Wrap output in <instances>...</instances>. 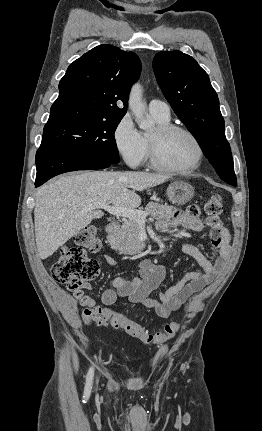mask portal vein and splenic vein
I'll use <instances>...</instances> for the list:
<instances>
[{"label": "portal vein and splenic vein", "mask_w": 262, "mask_h": 431, "mask_svg": "<svg viewBox=\"0 0 262 431\" xmlns=\"http://www.w3.org/2000/svg\"><path fill=\"white\" fill-rule=\"evenodd\" d=\"M93 209H104L114 216H121L129 220H135L139 224H145L146 217L148 216V213L144 211L128 209V208L118 207V206H111L109 203H106V202L90 204L88 206H85L83 210L90 211Z\"/></svg>", "instance_id": "obj_1"}]
</instances>
